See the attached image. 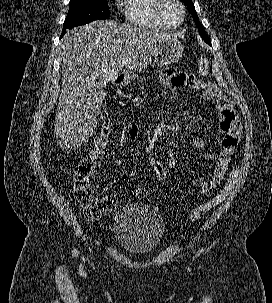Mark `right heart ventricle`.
<instances>
[{
	"mask_svg": "<svg viewBox=\"0 0 272 303\" xmlns=\"http://www.w3.org/2000/svg\"><path fill=\"white\" fill-rule=\"evenodd\" d=\"M159 0H122L126 20L136 26L165 29L157 15Z\"/></svg>",
	"mask_w": 272,
	"mask_h": 303,
	"instance_id": "1",
	"label": "right heart ventricle"
}]
</instances>
